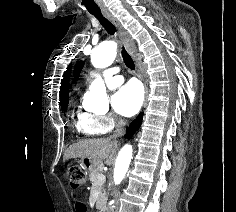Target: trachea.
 <instances>
[{
    "instance_id": "obj_1",
    "label": "trachea",
    "mask_w": 236,
    "mask_h": 212,
    "mask_svg": "<svg viewBox=\"0 0 236 212\" xmlns=\"http://www.w3.org/2000/svg\"><path fill=\"white\" fill-rule=\"evenodd\" d=\"M93 16H95L103 28L108 32V34L113 35L116 32L115 26L103 16L101 12H90ZM122 58L124 64L131 70L135 69V64L130 55L126 52L125 48H122Z\"/></svg>"
}]
</instances>
